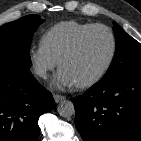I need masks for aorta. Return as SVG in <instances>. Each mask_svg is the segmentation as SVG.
I'll list each match as a JSON object with an SVG mask.
<instances>
[{"label": "aorta", "instance_id": "1", "mask_svg": "<svg viewBox=\"0 0 141 141\" xmlns=\"http://www.w3.org/2000/svg\"><path fill=\"white\" fill-rule=\"evenodd\" d=\"M57 112L62 117H71L75 114V108L71 101L64 100L61 103H59L57 107Z\"/></svg>", "mask_w": 141, "mask_h": 141}]
</instances>
